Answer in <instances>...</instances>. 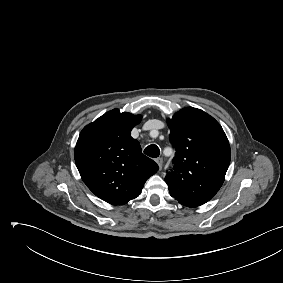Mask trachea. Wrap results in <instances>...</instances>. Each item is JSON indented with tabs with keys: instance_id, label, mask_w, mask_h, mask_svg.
<instances>
[{
	"instance_id": "1",
	"label": "trachea",
	"mask_w": 283,
	"mask_h": 283,
	"mask_svg": "<svg viewBox=\"0 0 283 283\" xmlns=\"http://www.w3.org/2000/svg\"><path fill=\"white\" fill-rule=\"evenodd\" d=\"M144 153L149 157L156 158L160 155V150L157 145L151 144L145 148Z\"/></svg>"
}]
</instances>
